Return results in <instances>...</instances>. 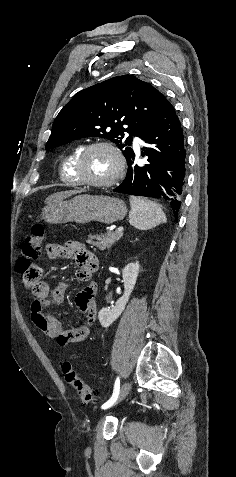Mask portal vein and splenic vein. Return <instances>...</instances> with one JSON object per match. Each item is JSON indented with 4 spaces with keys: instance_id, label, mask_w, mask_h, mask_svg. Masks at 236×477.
<instances>
[{
    "instance_id": "portal-vein-and-splenic-vein-1",
    "label": "portal vein and splenic vein",
    "mask_w": 236,
    "mask_h": 477,
    "mask_svg": "<svg viewBox=\"0 0 236 477\" xmlns=\"http://www.w3.org/2000/svg\"><path fill=\"white\" fill-rule=\"evenodd\" d=\"M123 230H124L123 227H119V228L116 230V232H117V233H122Z\"/></svg>"
}]
</instances>
